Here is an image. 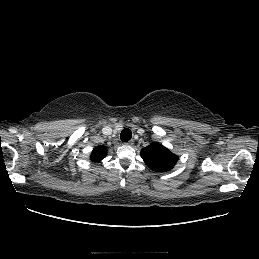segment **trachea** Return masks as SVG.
I'll return each mask as SVG.
<instances>
[{
    "mask_svg": "<svg viewBox=\"0 0 259 259\" xmlns=\"http://www.w3.org/2000/svg\"><path fill=\"white\" fill-rule=\"evenodd\" d=\"M132 138V132L130 129L128 128H125L121 131V134H120V139L123 141V142H128L130 139Z\"/></svg>",
    "mask_w": 259,
    "mask_h": 259,
    "instance_id": "obj_1",
    "label": "trachea"
}]
</instances>
